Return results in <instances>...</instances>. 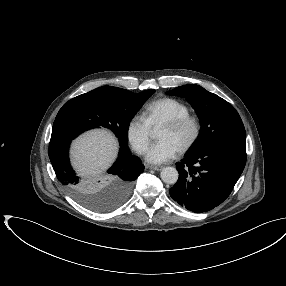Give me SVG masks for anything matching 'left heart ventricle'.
Here are the masks:
<instances>
[{
    "label": "left heart ventricle",
    "mask_w": 286,
    "mask_h": 286,
    "mask_svg": "<svg viewBox=\"0 0 286 286\" xmlns=\"http://www.w3.org/2000/svg\"><path fill=\"white\" fill-rule=\"evenodd\" d=\"M191 135L192 127L189 125L178 129L162 127L159 130L158 139L170 140L180 149L189 140Z\"/></svg>",
    "instance_id": "1"
}]
</instances>
